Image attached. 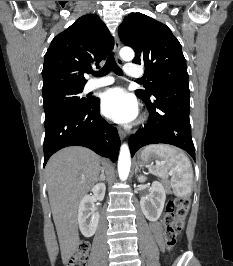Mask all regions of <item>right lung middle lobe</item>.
<instances>
[{"label":"right lung middle lobe","mask_w":233,"mask_h":266,"mask_svg":"<svg viewBox=\"0 0 233 266\" xmlns=\"http://www.w3.org/2000/svg\"><path fill=\"white\" fill-rule=\"evenodd\" d=\"M83 88L61 89L43 94L45 118L67 109L83 108L91 98L81 96Z\"/></svg>","instance_id":"dd1d6c3e"}]
</instances>
